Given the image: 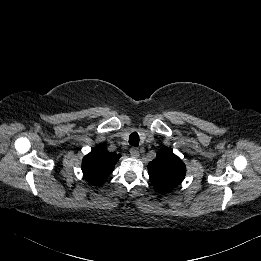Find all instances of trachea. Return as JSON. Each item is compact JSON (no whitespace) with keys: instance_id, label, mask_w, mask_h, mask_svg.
I'll list each match as a JSON object with an SVG mask.
<instances>
[{"instance_id":"trachea-1","label":"trachea","mask_w":261,"mask_h":261,"mask_svg":"<svg viewBox=\"0 0 261 261\" xmlns=\"http://www.w3.org/2000/svg\"><path fill=\"white\" fill-rule=\"evenodd\" d=\"M129 144L137 147L139 145V135L137 132H133L130 136H129Z\"/></svg>"}]
</instances>
